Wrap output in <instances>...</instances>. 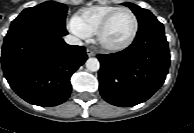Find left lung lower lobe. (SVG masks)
<instances>
[{"label":"left lung lower lobe","mask_w":194,"mask_h":133,"mask_svg":"<svg viewBox=\"0 0 194 133\" xmlns=\"http://www.w3.org/2000/svg\"><path fill=\"white\" fill-rule=\"evenodd\" d=\"M100 94L108 103L130 107L148 100L164 83L170 65L168 42L159 21L138 29L123 51L97 55Z\"/></svg>","instance_id":"0a47b994"}]
</instances>
